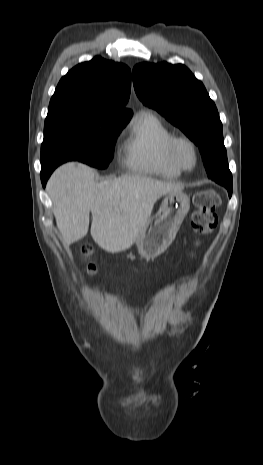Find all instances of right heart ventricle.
<instances>
[{"label":"right heart ventricle","mask_w":263,"mask_h":465,"mask_svg":"<svg viewBox=\"0 0 263 465\" xmlns=\"http://www.w3.org/2000/svg\"><path fill=\"white\" fill-rule=\"evenodd\" d=\"M172 136L156 115L141 112L123 142L124 164L134 173L178 178L182 171L167 155V144Z\"/></svg>","instance_id":"1"}]
</instances>
